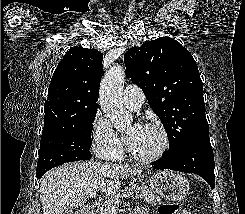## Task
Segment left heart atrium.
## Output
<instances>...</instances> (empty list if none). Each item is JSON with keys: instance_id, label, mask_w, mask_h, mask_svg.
<instances>
[{"instance_id": "obj_1", "label": "left heart atrium", "mask_w": 245, "mask_h": 214, "mask_svg": "<svg viewBox=\"0 0 245 214\" xmlns=\"http://www.w3.org/2000/svg\"><path fill=\"white\" fill-rule=\"evenodd\" d=\"M138 128H139V125H135L133 127L132 131L126 136L125 139H126L127 144L132 140V138L135 135V133L137 132Z\"/></svg>"}]
</instances>
